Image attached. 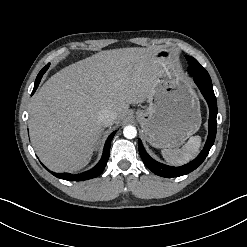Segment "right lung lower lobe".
<instances>
[{
  "label": "right lung lower lobe",
  "mask_w": 247,
  "mask_h": 247,
  "mask_svg": "<svg viewBox=\"0 0 247 247\" xmlns=\"http://www.w3.org/2000/svg\"><path fill=\"white\" fill-rule=\"evenodd\" d=\"M49 67V64L46 65L38 74L37 78H36V81H35V85H34V89H33V92H32V95L34 94V92L36 91L39 83H40V80L43 76V74L46 72V70L48 69ZM115 135V132H113L107 139L106 143H105V147H104V151H103V155H102V158L101 160L99 161V163L91 170L89 171H86L84 173H81V174H76V175H72L70 173H54L52 171H48L53 174L55 177L57 178H60V179H64V180H67V181H83V180H88V179H92V178H95L97 176H99L107 162H108V159H109V154H110V145H111V140L113 139ZM45 167V166H44Z\"/></svg>",
  "instance_id": "1"
}]
</instances>
